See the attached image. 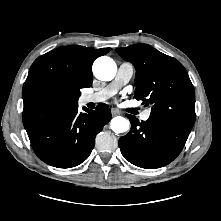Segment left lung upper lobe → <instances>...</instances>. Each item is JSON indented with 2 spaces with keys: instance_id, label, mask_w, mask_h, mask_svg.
I'll use <instances>...</instances> for the list:
<instances>
[{
  "instance_id": "5c2ea615",
  "label": "left lung upper lobe",
  "mask_w": 221,
  "mask_h": 221,
  "mask_svg": "<svg viewBox=\"0 0 221 221\" xmlns=\"http://www.w3.org/2000/svg\"><path fill=\"white\" fill-rule=\"evenodd\" d=\"M116 51L135 66V98L146 106L152 105L150 117L192 129L196 118L195 93L183 65L148 44Z\"/></svg>"
}]
</instances>
